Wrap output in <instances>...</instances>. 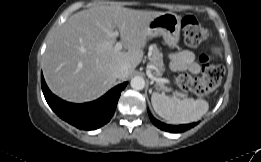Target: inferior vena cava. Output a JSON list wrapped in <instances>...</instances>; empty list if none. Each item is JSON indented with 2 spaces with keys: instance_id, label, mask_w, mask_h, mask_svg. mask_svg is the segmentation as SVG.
<instances>
[{
  "instance_id": "1",
  "label": "inferior vena cava",
  "mask_w": 261,
  "mask_h": 162,
  "mask_svg": "<svg viewBox=\"0 0 261 162\" xmlns=\"http://www.w3.org/2000/svg\"><path fill=\"white\" fill-rule=\"evenodd\" d=\"M113 74L116 78H124L128 75V67L126 65H120L114 68Z\"/></svg>"
}]
</instances>
